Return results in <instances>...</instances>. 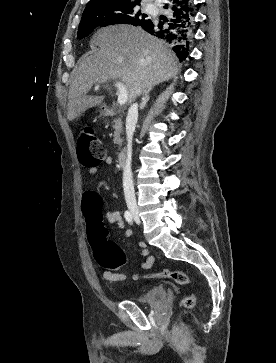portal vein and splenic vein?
I'll list each match as a JSON object with an SVG mask.
<instances>
[{
    "mask_svg": "<svg viewBox=\"0 0 276 363\" xmlns=\"http://www.w3.org/2000/svg\"><path fill=\"white\" fill-rule=\"evenodd\" d=\"M115 87L117 88V93H118L117 102L119 105H124L127 102L128 98L127 89L125 85L120 81L115 82ZM95 89H99V86H96Z\"/></svg>",
    "mask_w": 276,
    "mask_h": 363,
    "instance_id": "18ae733b",
    "label": "portal vein and splenic vein"
}]
</instances>
